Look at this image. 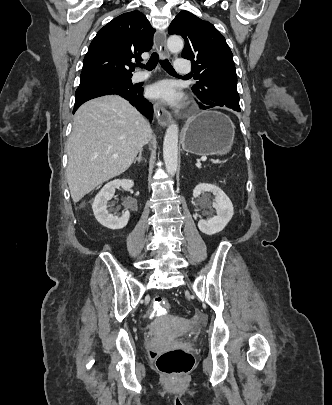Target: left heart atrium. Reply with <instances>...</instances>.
<instances>
[{
  "mask_svg": "<svg viewBox=\"0 0 332 405\" xmlns=\"http://www.w3.org/2000/svg\"><path fill=\"white\" fill-rule=\"evenodd\" d=\"M148 94L152 98L169 104H177L181 99V95L176 91L173 84L169 81H161L152 85L148 89Z\"/></svg>",
  "mask_w": 332,
  "mask_h": 405,
  "instance_id": "obj_1",
  "label": "left heart atrium"
}]
</instances>
